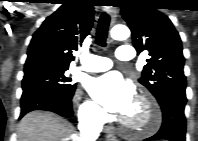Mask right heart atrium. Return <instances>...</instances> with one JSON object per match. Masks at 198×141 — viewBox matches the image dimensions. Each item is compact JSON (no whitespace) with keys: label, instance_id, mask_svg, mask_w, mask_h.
Instances as JSON below:
<instances>
[{"label":"right heart atrium","instance_id":"obj_1","mask_svg":"<svg viewBox=\"0 0 198 141\" xmlns=\"http://www.w3.org/2000/svg\"><path fill=\"white\" fill-rule=\"evenodd\" d=\"M79 118L88 123H101L104 121V112L92 101L87 100L79 106Z\"/></svg>","mask_w":198,"mask_h":141}]
</instances>
